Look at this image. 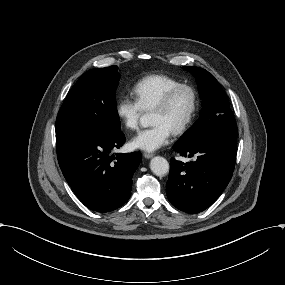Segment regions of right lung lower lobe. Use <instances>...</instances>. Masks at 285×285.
I'll return each instance as SVG.
<instances>
[{
	"mask_svg": "<svg viewBox=\"0 0 285 285\" xmlns=\"http://www.w3.org/2000/svg\"><path fill=\"white\" fill-rule=\"evenodd\" d=\"M125 142L122 132H66L56 134L57 158L62 173L78 197L89 209L113 211L124 205L131 193L132 176L141 162L138 152L118 153L112 149Z\"/></svg>",
	"mask_w": 285,
	"mask_h": 285,
	"instance_id": "1",
	"label": "right lung lower lobe"
}]
</instances>
